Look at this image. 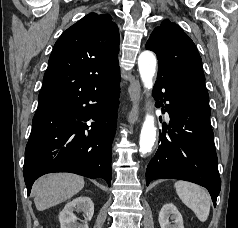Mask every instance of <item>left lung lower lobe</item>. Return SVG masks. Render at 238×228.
<instances>
[{
	"label": "left lung lower lobe",
	"instance_id": "left-lung-lower-lobe-1",
	"mask_svg": "<svg viewBox=\"0 0 238 228\" xmlns=\"http://www.w3.org/2000/svg\"><path fill=\"white\" fill-rule=\"evenodd\" d=\"M154 98L169 102L163 113L169 114L170 129L168 135L166 129L159 134L161 144L148 164L146 184L163 178L194 182L208 189L216 206L221 180L209 105L168 81L155 83Z\"/></svg>",
	"mask_w": 238,
	"mask_h": 228
}]
</instances>
